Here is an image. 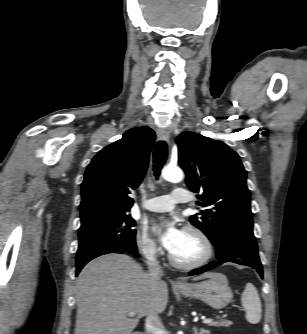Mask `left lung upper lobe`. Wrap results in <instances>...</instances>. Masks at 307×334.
<instances>
[{
	"label": "left lung upper lobe",
	"instance_id": "obj_1",
	"mask_svg": "<svg viewBox=\"0 0 307 334\" xmlns=\"http://www.w3.org/2000/svg\"><path fill=\"white\" fill-rule=\"evenodd\" d=\"M176 143L186 184L200 193L204 211L190 221L217 246L226 229H253L250 191L239 155L225 143L193 132H183Z\"/></svg>",
	"mask_w": 307,
	"mask_h": 334
}]
</instances>
